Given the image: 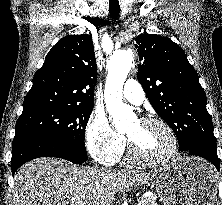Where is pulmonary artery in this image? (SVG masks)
Returning a JSON list of instances; mask_svg holds the SVG:
<instances>
[{
	"instance_id": "e3ab8cb5",
	"label": "pulmonary artery",
	"mask_w": 222,
	"mask_h": 205,
	"mask_svg": "<svg viewBox=\"0 0 222 205\" xmlns=\"http://www.w3.org/2000/svg\"><path fill=\"white\" fill-rule=\"evenodd\" d=\"M122 92L124 98L135 105H140L144 101V91L136 80L128 79Z\"/></svg>"
}]
</instances>
